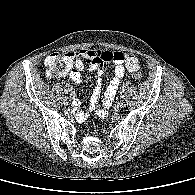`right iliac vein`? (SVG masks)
<instances>
[{
    "label": "right iliac vein",
    "instance_id": "1",
    "mask_svg": "<svg viewBox=\"0 0 195 195\" xmlns=\"http://www.w3.org/2000/svg\"><path fill=\"white\" fill-rule=\"evenodd\" d=\"M63 101L65 105H68L70 103L69 97H65Z\"/></svg>",
    "mask_w": 195,
    "mask_h": 195
}]
</instances>
